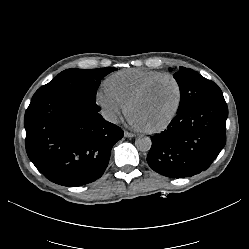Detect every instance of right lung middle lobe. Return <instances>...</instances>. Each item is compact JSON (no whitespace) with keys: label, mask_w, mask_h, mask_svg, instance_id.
I'll list each match as a JSON object with an SVG mask.
<instances>
[{"label":"right lung middle lobe","mask_w":249,"mask_h":249,"mask_svg":"<svg viewBox=\"0 0 249 249\" xmlns=\"http://www.w3.org/2000/svg\"><path fill=\"white\" fill-rule=\"evenodd\" d=\"M117 68L67 69L59 73L51 82L40 87L32 99L60 93L80 95L89 102H96V93L103 77Z\"/></svg>","instance_id":"1"}]
</instances>
